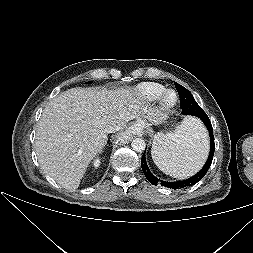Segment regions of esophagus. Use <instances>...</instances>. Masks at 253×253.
<instances>
[{
    "mask_svg": "<svg viewBox=\"0 0 253 253\" xmlns=\"http://www.w3.org/2000/svg\"><path fill=\"white\" fill-rule=\"evenodd\" d=\"M131 129H132L133 131H135L136 127H131Z\"/></svg>",
    "mask_w": 253,
    "mask_h": 253,
    "instance_id": "obj_1",
    "label": "esophagus"
}]
</instances>
